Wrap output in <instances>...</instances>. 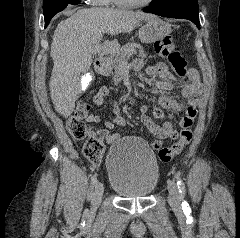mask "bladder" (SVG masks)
<instances>
[{"instance_id": "31cf9c89", "label": "bladder", "mask_w": 240, "mask_h": 238, "mask_svg": "<svg viewBox=\"0 0 240 238\" xmlns=\"http://www.w3.org/2000/svg\"><path fill=\"white\" fill-rule=\"evenodd\" d=\"M111 188L124 197H146L155 189L159 166L153 150L136 138L113 144L107 156Z\"/></svg>"}]
</instances>
